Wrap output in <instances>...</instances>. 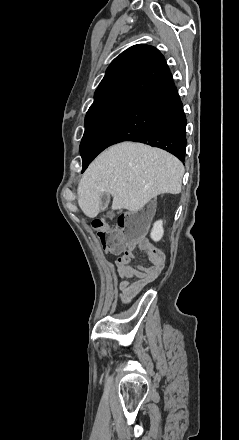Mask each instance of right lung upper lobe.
<instances>
[{
	"instance_id": "right-lung-upper-lobe-1",
	"label": "right lung upper lobe",
	"mask_w": 239,
	"mask_h": 440,
	"mask_svg": "<svg viewBox=\"0 0 239 440\" xmlns=\"http://www.w3.org/2000/svg\"><path fill=\"white\" fill-rule=\"evenodd\" d=\"M169 73L159 50L149 45H134L109 65L91 107L118 97L135 98L153 88Z\"/></svg>"
}]
</instances>
